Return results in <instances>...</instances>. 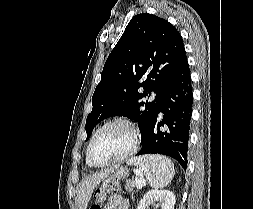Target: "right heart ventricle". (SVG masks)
Masks as SVG:
<instances>
[{"instance_id":"obj_1","label":"right heart ventricle","mask_w":253,"mask_h":209,"mask_svg":"<svg viewBox=\"0 0 253 209\" xmlns=\"http://www.w3.org/2000/svg\"><path fill=\"white\" fill-rule=\"evenodd\" d=\"M86 163H87V165H89L88 160H87V156H86ZM89 166H90V165H89Z\"/></svg>"}]
</instances>
